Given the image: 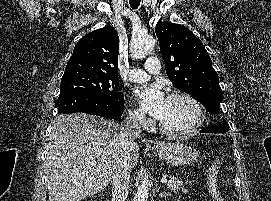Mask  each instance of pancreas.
I'll return each mask as SVG.
<instances>
[{
  "label": "pancreas",
  "mask_w": 271,
  "mask_h": 201,
  "mask_svg": "<svg viewBox=\"0 0 271 201\" xmlns=\"http://www.w3.org/2000/svg\"><path fill=\"white\" fill-rule=\"evenodd\" d=\"M167 187L173 192H177L180 189L183 192H188V190L184 188V183L175 177H170Z\"/></svg>",
  "instance_id": "cf45deb5"
}]
</instances>
